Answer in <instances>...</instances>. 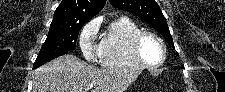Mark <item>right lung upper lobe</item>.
Here are the masks:
<instances>
[{
  "instance_id": "obj_1",
  "label": "right lung upper lobe",
  "mask_w": 225,
  "mask_h": 92,
  "mask_svg": "<svg viewBox=\"0 0 225 92\" xmlns=\"http://www.w3.org/2000/svg\"><path fill=\"white\" fill-rule=\"evenodd\" d=\"M106 0H62L50 26H66L75 21L87 22L103 9Z\"/></svg>"
}]
</instances>
